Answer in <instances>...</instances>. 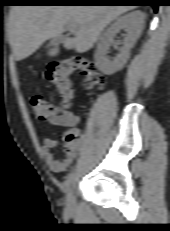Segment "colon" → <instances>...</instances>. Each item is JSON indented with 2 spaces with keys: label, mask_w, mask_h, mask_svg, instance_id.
I'll return each mask as SVG.
<instances>
[{
  "label": "colon",
  "mask_w": 170,
  "mask_h": 231,
  "mask_svg": "<svg viewBox=\"0 0 170 231\" xmlns=\"http://www.w3.org/2000/svg\"><path fill=\"white\" fill-rule=\"evenodd\" d=\"M80 72L83 85L86 89L102 88L104 78L94 63L80 58L68 57L48 65L46 78L55 86L60 98L67 103L72 98V78ZM31 106L34 114L41 120L49 121L59 110L40 95L31 97ZM81 139V131L77 127H70L65 134L66 146H72Z\"/></svg>",
  "instance_id": "obj_1"
}]
</instances>
